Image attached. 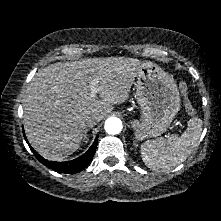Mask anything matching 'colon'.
I'll return each mask as SVG.
<instances>
[{"mask_svg":"<svg viewBox=\"0 0 221 221\" xmlns=\"http://www.w3.org/2000/svg\"><path fill=\"white\" fill-rule=\"evenodd\" d=\"M180 90L186 98L185 99V108H186L187 113L191 116L196 115L197 111H196L195 107L193 106V104L191 103V101L187 97L188 88H187V84L185 82L180 83Z\"/></svg>","mask_w":221,"mask_h":221,"instance_id":"obj_1","label":"colon"}]
</instances>
